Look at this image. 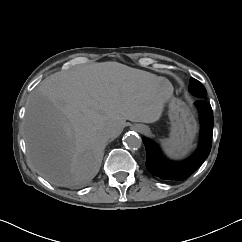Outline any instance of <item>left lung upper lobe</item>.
<instances>
[{
	"label": "left lung upper lobe",
	"instance_id": "obj_1",
	"mask_svg": "<svg viewBox=\"0 0 242 242\" xmlns=\"http://www.w3.org/2000/svg\"><path fill=\"white\" fill-rule=\"evenodd\" d=\"M189 90L195 96H197L201 99H207V96H206L207 92H206L204 86L202 85L201 82H199L198 80H196L194 78L190 79Z\"/></svg>",
	"mask_w": 242,
	"mask_h": 242
}]
</instances>
